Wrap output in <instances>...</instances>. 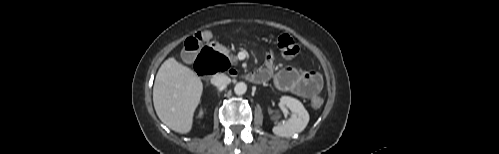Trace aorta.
I'll use <instances>...</instances> for the list:
<instances>
[{"label":"aorta","mask_w":499,"mask_h":154,"mask_svg":"<svg viewBox=\"0 0 499 154\" xmlns=\"http://www.w3.org/2000/svg\"><path fill=\"white\" fill-rule=\"evenodd\" d=\"M247 91V85L244 82H239L234 87V92L237 95H243Z\"/></svg>","instance_id":"1"}]
</instances>
